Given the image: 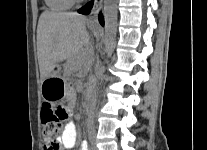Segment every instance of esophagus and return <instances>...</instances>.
I'll use <instances>...</instances> for the list:
<instances>
[{"mask_svg": "<svg viewBox=\"0 0 207 150\" xmlns=\"http://www.w3.org/2000/svg\"><path fill=\"white\" fill-rule=\"evenodd\" d=\"M103 0H93V7L88 16V22L98 24V14L101 10Z\"/></svg>", "mask_w": 207, "mask_h": 150, "instance_id": "34e87169", "label": "esophagus"}]
</instances>
